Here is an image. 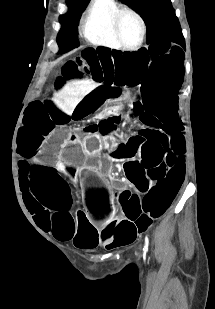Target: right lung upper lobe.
Listing matches in <instances>:
<instances>
[{"mask_svg":"<svg viewBox=\"0 0 215 309\" xmlns=\"http://www.w3.org/2000/svg\"><path fill=\"white\" fill-rule=\"evenodd\" d=\"M78 1H82V2H88V0H78Z\"/></svg>","mask_w":215,"mask_h":309,"instance_id":"obj_1","label":"right lung upper lobe"}]
</instances>
